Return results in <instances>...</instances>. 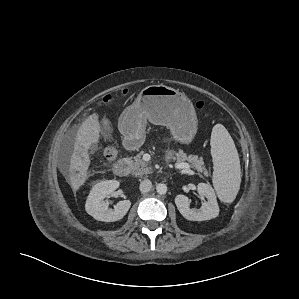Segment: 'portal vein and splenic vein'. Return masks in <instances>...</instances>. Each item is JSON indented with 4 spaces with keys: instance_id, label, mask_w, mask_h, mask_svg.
Listing matches in <instances>:
<instances>
[{
    "instance_id": "1",
    "label": "portal vein and splenic vein",
    "mask_w": 299,
    "mask_h": 299,
    "mask_svg": "<svg viewBox=\"0 0 299 299\" xmlns=\"http://www.w3.org/2000/svg\"><path fill=\"white\" fill-rule=\"evenodd\" d=\"M176 169H190V165L188 163H176L175 164Z\"/></svg>"
}]
</instances>
